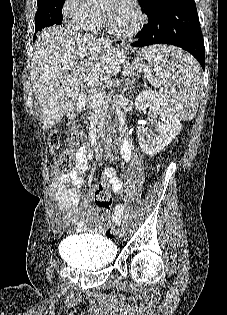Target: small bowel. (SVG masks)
I'll list each match as a JSON object with an SVG mask.
<instances>
[{
	"label": "small bowel",
	"mask_w": 227,
	"mask_h": 315,
	"mask_svg": "<svg viewBox=\"0 0 227 315\" xmlns=\"http://www.w3.org/2000/svg\"><path fill=\"white\" fill-rule=\"evenodd\" d=\"M92 157L93 152L89 145L80 146L75 152V164L72 170L62 175L50 186V191L56 198L58 210L53 219L54 228L57 232L64 230L66 222L71 223L79 233L86 229L82 212L89 213V207L86 204L89 195H83L80 188L83 182L82 174L86 171L87 164ZM100 185L111 187L115 193L123 191V186L113 169H107L104 172ZM124 213V206L117 204L114 207L111 222L114 224L120 223ZM105 227L103 221H96L92 230L93 232H103Z\"/></svg>",
	"instance_id": "obj_1"
}]
</instances>
